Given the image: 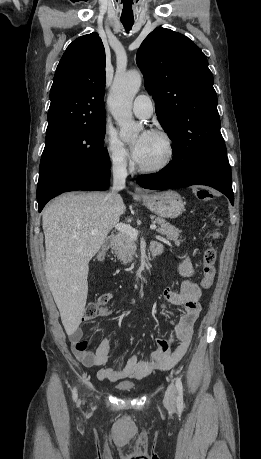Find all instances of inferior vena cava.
Wrapping results in <instances>:
<instances>
[{
    "label": "inferior vena cava",
    "mask_w": 261,
    "mask_h": 459,
    "mask_svg": "<svg viewBox=\"0 0 261 459\" xmlns=\"http://www.w3.org/2000/svg\"><path fill=\"white\" fill-rule=\"evenodd\" d=\"M112 170L113 186L111 193H109V201L113 207H119L122 203V198L118 192L125 187L127 177L126 162L122 157L113 162Z\"/></svg>",
    "instance_id": "inferior-vena-cava-1"
}]
</instances>
